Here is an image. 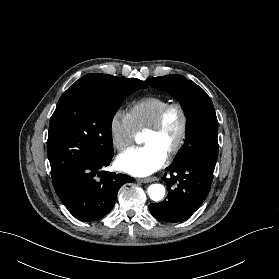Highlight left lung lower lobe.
Returning a JSON list of instances; mask_svg holds the SVG:
<instances>
[{
    "instance_id": "left-lung-lower-lobe-1",
    "label": "left lung lower lobe",
    "mask_w": 279,
    "mask_h": 279,
    "mask_svg": "<svg viewBox=\"0 0 279 279\" xmlns=\"http://www.w3.org/2000/svg\"><path fill=\"white\" fill-rule=\"evenodd\" d=\"M162 180L168 188L167 199L149 206L151 214L165 222H181L191 216L206 199L213 172L194 164L170 165Z\"/></svg>"
}]
</instances>
